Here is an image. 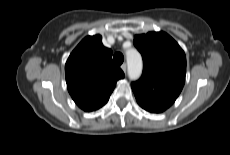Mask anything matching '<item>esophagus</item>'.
<instances>
[{"label": "esophagus", "instance_id": "1", "mask_svg": "<svg viewBox=\"0 0 230 155\" xmlns=\"http://www.w3.org/2000/svg\"><path fill=\"white\" fill-rule=\"evenodd\" d=\"M121 69L123 70L124 73H126V70H127V65H126V63H123V64L121 65Z\"/></svg>", "mask_w": 230, "mask_h": 155}]
</instances>
